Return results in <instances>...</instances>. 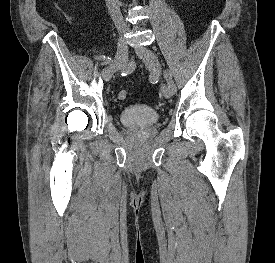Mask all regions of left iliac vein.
I'll return each instance as SVG.
<instances>
[{
	"label": "left iliac vein",
	"mask_w": 275,
	"mask_h": 263,
	"mask_svg": "<svg viewBox=\"0 0 275 263\" xmlns=\"http://www.w3.org/2000/svg\"><path fill=\"white\" fill-rule=\"evenodd\" d=\"M135 52L151 73L154 75L161 73L160 62L153 51L145 46H137L135 47ZM161 92L165 98H170L174 95V91L167 84H162Z\"/></svg>",
	"instance_id": "left-iliac-vein-1"
}]
</instances>
